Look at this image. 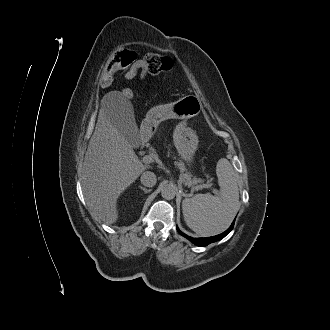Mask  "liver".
I'll use <instances>...</instances> for the list:
<instances>
[{
    "label": "liver",
    "mask_w": 330,
    "mask_h": 330,
    "mask_svg": "<svg viewBox=\"0 0 330 330\" xmlns=\"http://www.w3.org/2000/svg\"><path fill=\"white\" fill-rule=\"evenodd\" d=\"M154 125L149 113L142 121L139 135L149 137ZM146 168L117 128L114 106H102L85 154L81 182L92 214L106 224L115 223L118 197Z\"/></svg>",
    "instance_id": "1"
}]
</instances>
